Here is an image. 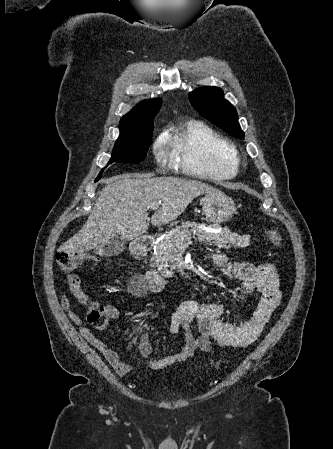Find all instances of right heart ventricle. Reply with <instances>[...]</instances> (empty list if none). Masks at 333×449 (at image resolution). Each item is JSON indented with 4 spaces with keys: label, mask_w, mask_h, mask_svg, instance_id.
Listing matches in <instances>:
<instances>
[{
    "label": "right heart ventricle",
    "mask_w": 333,
    "mask_h": 449,
    "mask_svg": "<svg viewBox=\"0 0 333 449\" xmlns=\"http://www.w3.org/2000/svg\"><path fill=\"white\" fill-rule=\"evenodd\" d=\"M170 161L188 175L203 179L235 176L239 157L235 147L212 127L200 122L177 126L165 138Z\"/></svg>",
    "instance_id": "e07e8e85"
}]
</instances>
